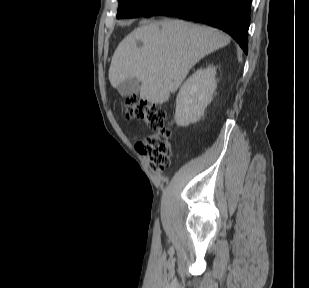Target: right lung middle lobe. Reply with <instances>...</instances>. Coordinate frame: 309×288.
Instances as JSON below:
<instances>
[{"label":"right lung middle lobe","instance_id":"obj_1","mask_svg":"<svg viewBox=\"0 0 309 288\" xmlns=\"http://www.w3.org/2000/svg\"><path fill=\"white\" fill-rule=\"evenodd\" d=\"M117 18H135L142 16L164 0H118Z\"/></svg>","mask_w":309,"mask_h":288}]
</instances>
